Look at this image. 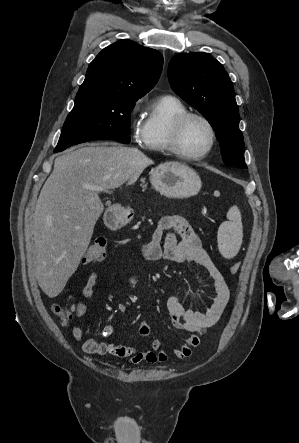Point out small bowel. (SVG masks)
Listing matches in <instances>:
<instances>
[{
  "mask_svg": "<svg viewBox=\"0 0 299 443\" xmlns=\"http://www.w3.org/2000/svg\"><path fill=\"white\" fill-rule=\"evenodd\" d=\"M180 237V241L177 240ZM142 255L148 261L165 259L172 262H195L206 269L213 281L215 297L211 306L204 313L186 308L185 301L180 296H172L167 301V309L171 318L172 326L179 331L189 333L187 342L180 348L167 352L161 349L160 340L151 336L148 323L143 320L140 323L139 334L148 340V349L138 350L132 346L117 345L112 341H96L86 338L84 331L75 326L72 334L80 344L83 352L87 354L112 355L119 358H127L131 363L140 362L155 363L164 362L170 355L176 358H185L192 354L193 349L199 344L200 338L213 327L223 314L229 301L230 291L228 285L204 248L200 237L190 227L187 220L180 215L164 216L160 219L151 240L142 247ZM99 274L93 271L89 274L81 294L84 299L90 298ZM137 276L131 278L130 283L136 284ZM118 311L126 313L128 308L124 304L118 305ZM86 313V305L80 301L76 306V315L81 317ZM114 333L112 324H105L101 334L109 337Z\"/></svg>",
  "mask_w": 299,
  "mask_h": 443,
  "instance_id": "c3829d8e",
  "label": "small bowel"
}]
</instances>
